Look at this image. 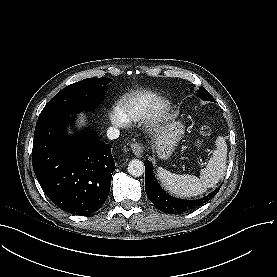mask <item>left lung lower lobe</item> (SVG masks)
I'll return each mask as SVG.
<instances>
[{
	"label": "left lung lower lobe",
	"mask_w": 277,
	"mask_h": 277,
	"mask_svg": "<svg viewBox=\"0 0 277 277\" xmlns=\"http://www.w3.org/2000/svg\"><path fill=\"white\" fill-rule=\"evenodd\" d=\"M145 165V191L150 201L161 211L168 214H176L182 212H188L196 209L200 205L206 203L208 200L214 197L219 188L214 190L209 195L198 200H183L170 196L164 190L161 189L157 183L153 172L152 163L149 160L144 162Z\"/></svg>",
	"instance_id": "obj_1"
}]
</instances>
